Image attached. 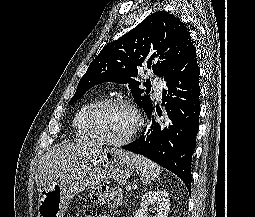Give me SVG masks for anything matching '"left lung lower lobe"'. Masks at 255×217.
<instances>
[{"mask_svg": "<svg viewBox=\"0 0 255 217\" xmlns=\"http://www.w3.org/2000/svg\"><path fill=\"white\" fill-rule=\"evenodd\" d=\"M199 74L196 50L192 46L183 54L177 66L164 75L167 90H163L162 102L167 118L157 123L151 109L147 116L152 119V124L146 134L122 147L173 172L183 180L189 191L191 161L199 129Z\"/></svg>", "mask_w": 255, "mask_h": 217, "instance_id": "left-lung-lower-lobe-1", "label": "left lung lower lobe"}]
</instances>
